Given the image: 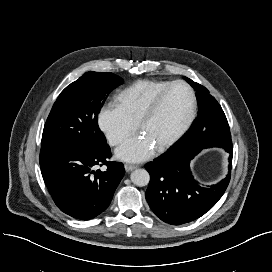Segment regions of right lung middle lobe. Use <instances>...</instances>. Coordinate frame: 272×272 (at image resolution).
<instances>
[{
  "label": "right lung middle lobe",
  "instance_id": "obj_1",
  "mask_svg": "<svg viewBox=\"0 0 272 272\" xmlns=\"http://www.w3.org/2000/svg\"><path fill=\"white\" fill-rule=\"evenodd\" d=\"M123 83L110 73L87 72L58 96L44 126L41 147H94L106 143L97 114L108 94Z\"/></svg>",
  "mask_w": 272,
  "mask_h": 272
}]
</instances>
